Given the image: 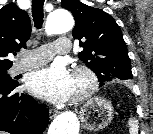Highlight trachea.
Wrapping results in <instances>:
<instances>
[{"mask_svg":"<svg viewBox=\"0 0 153 134\" xmlns=\"http://www.w3.org/2000/svg\"><path fill=\"white\" fill-rule=\"evenodd\" d=\"M45 0H32V16L35 27L40 29L43 23V5Z\"/></svg>","mask_w":153,"mask_h":134,"instance_id":"trachea-1","label":"trachea"}]
</instances>
